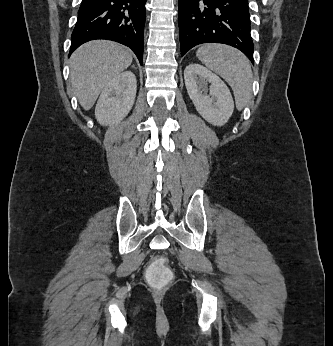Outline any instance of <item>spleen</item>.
Listing matches in <instances>:
<instances>
[{
	"label": "spleen",
	"instance_id": "obj_1",
	"mask_svg": "<svg viewBox=\"0 0 333 346\" xmlns=\"http://www.w3.org/2000/svg\"><path fill=\"white\" fill-rule=\"evenodd\" d=\"M198 59L223 77L231 86L236 107L243 109L252 94V70L243 53L221 44L202 45L196 52Z\"/></svg>",
	"mask_w": 333,
	"mask_h": 346
}]
</instances>
